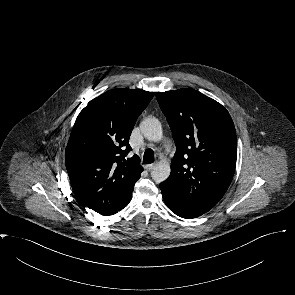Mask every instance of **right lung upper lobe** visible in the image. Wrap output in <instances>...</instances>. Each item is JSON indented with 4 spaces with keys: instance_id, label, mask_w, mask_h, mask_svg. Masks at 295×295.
<instances>
[{
    "instance_id": "cb5924a9",
    "label": "right lung upper lobe",
    "mask_w": 295,
    "mask_h": 295,
    "mask_svg": "<svg viewBox=\"0 0 295 295\" xmlns=\"http://www.w3.org/2000/svg\"><path fill=\"white\" fill-rule=\"evenodd\" d=\"M154 93L112 89L90 101L78 115L65 151L73 192L102 215L119 209L143 171L129 138L138 116Z\"/></svg>"
}]
</instances>
